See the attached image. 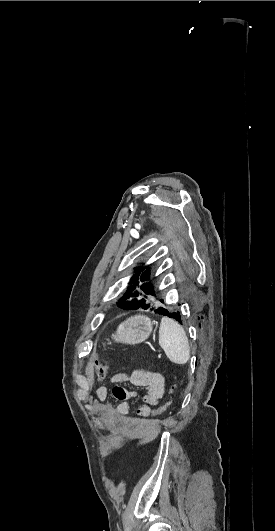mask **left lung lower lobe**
<instances>
[{
  "instance_id": "0a47b994",
  "label": "left lung lower lobe",
  "mask_w": 275,
  "mask_h": 531,
  "mask_svg": "<svg viewBox=\"0 0 275 531\" xmlns=\"http://www.w3.org/2000/svg\"><path fill=\"white\" fill-rule=\"evenodd\" d=\"M155 312L159 313V314H162V315H165V316H168L170 318H173L175 320H177L179 323H182L181 322V317H180V313L179 312H168L167 310L163 309V308H159L157 309Z\"/></svg>"
}]
</instances>
